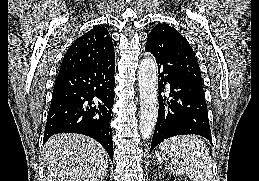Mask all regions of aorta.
I'll return each mask as SVG.
<instances>
[{
  "label": "aorta",
  "mask_w": 259,
  "mask_h": 181,
  "mask_svg": "<svg viewBox=\"0 0 259 181\" xmlns=\"http://www.w3.org/2000/svg\"><path fill=\"white\" fill-rule=\"evenodd\" d=\"M140 94V125L143 139H149L156 126L158 115L157 64L153 57L141 60L138 69Z\"/></svg>",
  "instance_id": "762f6f07"
}]
</instances>
